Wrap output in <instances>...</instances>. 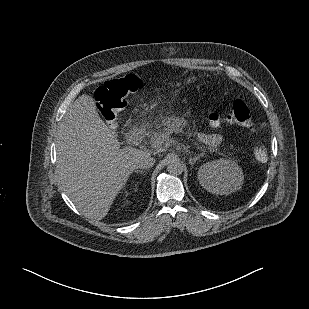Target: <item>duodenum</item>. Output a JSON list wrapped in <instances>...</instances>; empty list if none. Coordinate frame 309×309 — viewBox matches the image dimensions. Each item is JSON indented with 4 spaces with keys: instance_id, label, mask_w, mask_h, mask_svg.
Segmentation results:
<instances>
[{
    "instance_id": "410a0bca",
    "label": "duodenum",
    "mask_w": 309,
    "mask_h": 309,
    "mask_svg": "<svg viewBox=\"0 0 309 309\" xmlns=\"http://www.w3.org/2000/svg\"><path fill=\"white\" fill-rule=\"evenodd\" d=\"M147 132H148L147 125L145 124L135 125L130 129L128 136L130 138L131 143H134L136 141L142 140L147 134Z\"/></svg>"
}]
</instances>
